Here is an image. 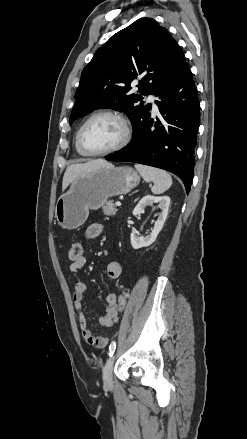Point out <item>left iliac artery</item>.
I'll list each match as a JSON object with an SVG mask.
<instances>
[{
    "label": "left iliac artery",
    "instance_id": "1",
    "mask_svg": "<svg viewBox=\"0 0 247 439\" xmlns=\"http://www.w3.org/2000/svg\"><path fill=\"white\" fill-rule=\"evenodd\" d=\"M115 349H116V342L113 341L109 346V356L110 357L113 356Z\"/></svg>",
    "mask_w": 247,
    "mask_h": 439
}]
</instances>
